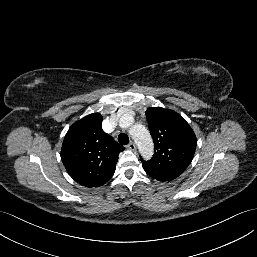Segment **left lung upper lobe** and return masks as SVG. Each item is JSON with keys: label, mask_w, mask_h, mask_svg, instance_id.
Returning <instances> with one entry per match:
<instances>
[{"label": "left lung upper lobe", "mask_w": 257, "mask_h": 257, "mask_svg": "<svg viewBox=\"0 0 257 257\" xmlns=\"http://www.w3.org/2000/svg\"><path fill=\"white\" fill-rule=\"evenodd\" d=\"M155 153L143 161L146 173L159 181H171L188 167L195 153L197 139L184 118L172 110L152 107L145 112Z\"/></svg>", "instance_id": "left-lung-upper-lobe-1"}]
</instances>
